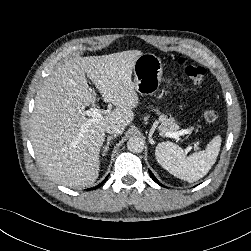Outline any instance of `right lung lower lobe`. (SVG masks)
<instances>
[{
    "label": "right lung lower lobe",
    "instance_id": "98d812e1",
    "mask_svg": "<svg viewBox=\"0 0 251 251\" xmlns=\"http://www.w3.org/2000/svg\"><path fill=\"white\" fill-rule=\"evenodd\" d=\"M107 180V177L105 178V180H103L98 186H96V187H94V188H92V189H96V188H98V187H100L102 184H104V182Z\"/></svg>",
    "mask_w": 251,
    "mask_h": 251
}]
</instances>
